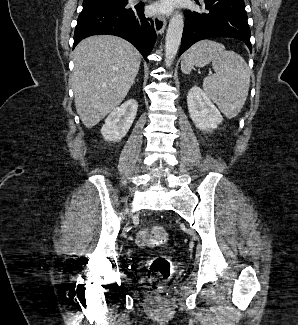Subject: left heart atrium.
<instances>
[{
	"label": "left heart atrium",
	"instance_id": "obj_1",
	"mask_svg": "<svg viewBox=\"0 0 298 325\" xmlns=\"http://www.w3.org/2000/svg\"><path fill=\"white\" fill-rule=\"evenodd\" d=\"M155 12H167L170 9V4L167 1H163L160 3H157L154 7H153Z\"/></svg>",
	"mask_w": 298,
	"mask_h": 325
}]
</instances>
